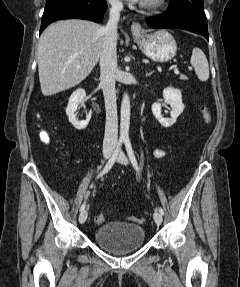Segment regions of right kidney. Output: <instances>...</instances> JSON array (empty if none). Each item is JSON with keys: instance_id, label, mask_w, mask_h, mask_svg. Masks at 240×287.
<instances>
[{"instance_id": "1", "label": "right kidney", "mask_w": 240, "mask_h": 287, "mask_svg": "<svg viewBox=\"0 0 240 287\" xmlns=\"http://www.w3.org/2000/svg\"><path fill=\"white\" fill-rule=\"evenodd\" d=\"M85 98H86V92L84 89L79 88V89L75 90L72 93V95L70 96L69 102H68V105L66 108V114L68 116L69 122L77 130L85 129L88 126L89 121L91 119V115H92V112L90 111L87 114L85 120L78 121V119L76 118L75 112H76L79 105H84Z\"/></svg>"}]
</instances>
